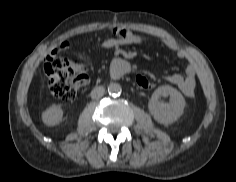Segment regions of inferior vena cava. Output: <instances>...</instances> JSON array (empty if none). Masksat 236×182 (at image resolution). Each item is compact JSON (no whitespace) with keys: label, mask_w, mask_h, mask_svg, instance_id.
Wrapping results in <instances>:
<instances>
[{"label":"inferior vena cava","mask_w":236,"mask_h":182,"mask_svg":"<svg viewBox=\"0 0 236 182\" xmlns=\"http://www.w3.org/2000/svg\"><path fill=\"white\" fill-rule=\"evenodd\" d=\"M104 93H105V88L103 86L95 87L91 91V98L92 99H99L104 95Z\"/></svg>","instance_id":"inferior-vena-cava-1"}]
</instances>
